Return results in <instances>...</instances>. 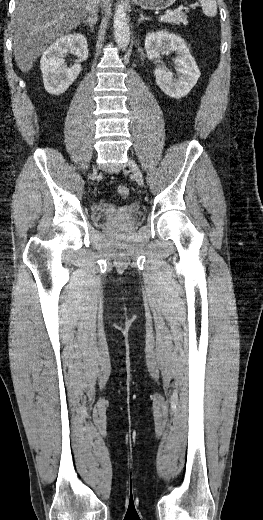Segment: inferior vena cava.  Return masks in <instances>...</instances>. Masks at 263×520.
Segmentation results:
<instances>
[{
  "label": "inferior vena cava",
  "instance_id": "1",
  "mask_svg": "<svg viewBox=\"0 0 263 520\" xmlns=\"http://www.w3.org/2000/svg\"><path fill=\"white\" fill-rule=\"evenodd\" d=\"M100 0H89L88 1V9L92 14L96 15L97 12V5Z\"/></svg>",
  "mask_w": 263,
  "mask_h": 520
}]
</instances>
